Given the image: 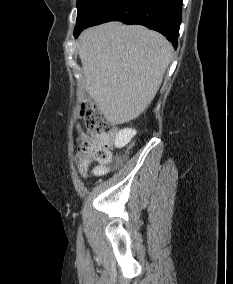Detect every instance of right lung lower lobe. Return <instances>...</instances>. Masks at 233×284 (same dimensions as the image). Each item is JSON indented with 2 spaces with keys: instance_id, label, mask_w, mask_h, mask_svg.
<instances>
[{
  "instance_id": "1",
  "label": "right lung lower lobe",
  "mask_w": 233,
  "mask_h": 284,
  "mask_svg": "<svg viewBox=\"0 0 233 284\" xmlns=\"http://www.w3.org/2000/svg\"><path fill=\"white\" fill-rule=\"evenodd\" d=\"M181 11L182 0H110L74 36L87 27L116 20L158 31L177 48Z\"/></svg>"
}]
</instances>
